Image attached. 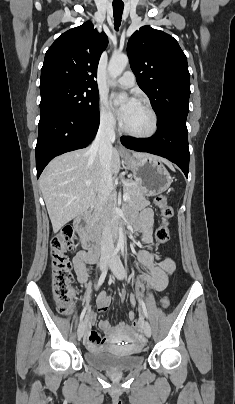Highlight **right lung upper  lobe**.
<instances>
[{
  "label": "right lung upper lobe",
  "instance_id": "cb5924a9",
  "mask_svg": "<svg viewBox=\"0 0 235 404\" xmlns=\"http://www.w3.org/2000/svg\"><path fill=\"white\" fill-rule=\"evenodd\" d=\"M107 44V36L89 21L66 31L45 54L40 85L65 82L96 89L97 66Z\"/></svg>",
  "mask_w": 235,
  "mask_h": 404
}]
</instances>
